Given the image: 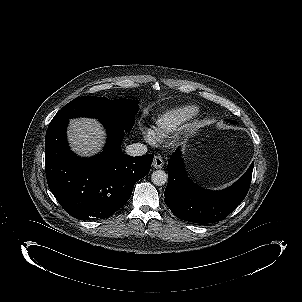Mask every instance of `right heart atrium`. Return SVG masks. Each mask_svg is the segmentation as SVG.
<instances>
[{
  "label": "right heart atrium",
  "instance_id": "right-heart-atrium-1",
  "mask_svg": "<svg viewBox=\"0 0 302 302\" xmlns=\"http://www.w3.org/2000/svg\"><path fill=\"white\" fill-rule=\"evenodd\" d=\"M143 137L150 144H155L157 142L156 136L150 131L143 132Z\"/></svg>",
  "mask_w": 302,
  "mask_h": 302
}]
</instances>
